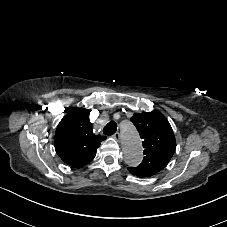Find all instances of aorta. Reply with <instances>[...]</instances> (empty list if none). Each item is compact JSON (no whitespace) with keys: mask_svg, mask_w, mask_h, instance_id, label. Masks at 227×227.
<instances>
[{"mask_svg":"<svg viewBox=\"0 0 227 227\" xmlns=\"http://www.w3.org/2000/svg\"><path fill=\"white\" fill-rule=\"evenodd\" d=\"M121 141L125 162L130 166H137L143 159V149L140 136L132 125L122 128Z\"/></svg>","mask_w":227,"mask_h":227,"instance_id":"obj_1","label":"aorta"}]
</instances>
